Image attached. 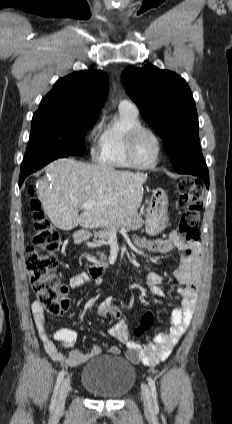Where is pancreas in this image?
<instances>
[{"instance_id": "1", "label": "pancreas", "mask_w": 232, "mask_h": 424, "mask_svg": "<svg viewBox=\"0 0 232 424\" xmlns=\"http://www.w3.org/2000/svg\"><path fill=\"white\" fill-rule=\"evenodd\" d=\"M143 224L144 221L142 220L141 215L138 213H134L127 215L118 221H114L105 229L95 232L94 236L96 238H99V241L104 242L120 229L129 228L131 230H137L140 229ZM98 254H100L101 261L106 260V256L104 255V253Z\"/></svg>"}]
</instances>
